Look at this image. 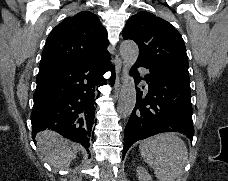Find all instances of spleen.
I'll use <instances>...</instances> for the list:
<instances>
[{"label": "spleen", "instance_id": "1", "mask_svg": "<svg viewBox=\"0 0 228 181\" xmlns=\"http://www.w3.org/2000/svg\"><path fill=\"white\" fill-rule=\"evenodd\" d=\"M139 151L158 181H176L187 163V147L174 133H162L140 141Z\"/></svg>", "mask_w": 228, "mask_h": 181}]
</instances>
